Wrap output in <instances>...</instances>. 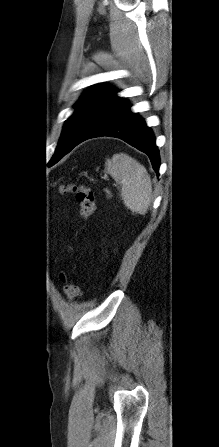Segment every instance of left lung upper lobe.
Instances as JSON below:
<instances>
[{"label":"left lung upper lobe","instance_id":"1","mask_svg":"<svg viewBox=\"0 0 219 447\" xmlns=\"http://www.w3.org/2000/svg\"><path fill=\"white\" fill-rule=\"evenodd\" d=\"M110 87H96L84 94L67 119L55 154L60 156L70 146L81 142L123 101Z\"/></svg>","mask_w":219,"mask_h":447}]
</instances>
